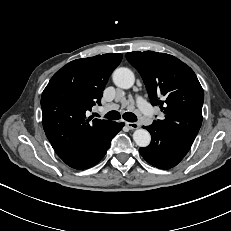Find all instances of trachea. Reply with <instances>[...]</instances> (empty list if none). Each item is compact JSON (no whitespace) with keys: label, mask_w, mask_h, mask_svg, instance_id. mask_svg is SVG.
Segmentation results:
<instances>
[{"label":"trachea","mask_w":231,"mask_h":231,"mask_svg":"<svg viewBox=\"0 0 231 231\" xmlns=\"http://www.w3.org/2000/svg\"><path fill=\"white\" fill-rule=\"evenodd\" d=\"M99 117V115H97ZM105 117L109 120H118L120 119V113L118 111H110L108 112ZM123 118L128 122H136L137 117L134 113L126 112L123 114Z\"/></svg>","instance_id":"trachea-1"}]
</instances>
